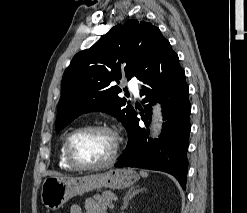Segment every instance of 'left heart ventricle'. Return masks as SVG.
I'll use <instances>...</instances> for the list:
<instances>
[{"mask_svg": "<svg viewBox=\"0 0 247 213\" xmlns=\"http://www.w3.org/2000/svg\"><path fill=\"white\" fill-rule=\"evenodd\" d=\"M115 138L103 131L89 132L78 136L74 142L76 157L85 163H100L107 160L114 149Z\"/></svg>", "mask_w": 247, "mask_h": 213, "instance_id": "left-heart-ventricle-1", "label": "left heart ventricle"}]
</instances>
